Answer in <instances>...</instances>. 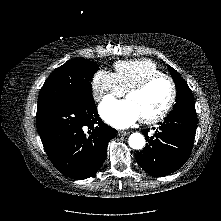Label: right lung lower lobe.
I'll return each instance as SVG.
<instances>
[{
    "instance_id": "1",
    "label": "right lung lower lobe",
    "mask_w": 221,
    "mask_h": 221,
    "mask_svg": "<svg viewBox=\"0 0 221 221\" xmlns=\"http://www.w3.org/2000/svg\"><path fill=\"white\" fill-rule=\"evenodd\" d=\"M36 121L52 164L77 180L96 173L117 133L100 119L91 94L38 104Z\"/></svg>"
}]
</instances>
